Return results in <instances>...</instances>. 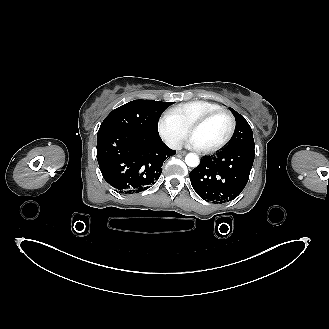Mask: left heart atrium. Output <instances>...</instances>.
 Returning a JSON list of instances; mask_svg holds the SVG:
<instances>
[{
    "mask_svg": "<svg viewBox=\"0 0 329 329\" xmlns=\"http://www.w3.org/2000/svg\"><path fill=\"white\" fill-rule=\"evenodd\" d=\"M186 144L192 148H200L197 141L192 136L187 139Z\"/></svg>",
    "mask_w": 329,
    "mask_h": 329,
    "instance_id": "left-heart-atrium-1",
    "label": "left heart atrium"
}]
</instances>
